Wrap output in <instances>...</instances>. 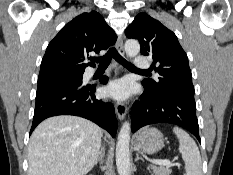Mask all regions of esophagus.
<instances>
[{"label": "esophagus", "mask_w": 233, "mask_h": 175, "mask_svg": "<svg viewBox=\"0 0 233 175\" xmlns=\"http://www.w3.org/2000/svg\"><path fill=\"white\" fill-rule=\"evenodd\" d=\"M116 48L117 51L121 54L124 55V47H123V38L122 36H119L116 42ZM116 72L118 71V66L115 67ZM115 109H116V114L119 118V120H123L127 114V107L124 103L122 102H117L115 104Z\"/></svg>", "instance_id": "1"}]
</instances>
